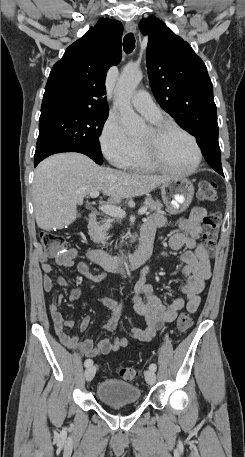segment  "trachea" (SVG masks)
<instances>
[{
  "label": "trachea",
  "mask_w": 245,
  "mask_h": 457,
  "mask_svg": "<svg viewBox=\"0 0 245 457\" xmlns=\"http://www.w3.org/2000/svg\"><path fill=\"white\" fill-rule=\"evenodd\" d=\"M123 48L127 54L131 53L134 50L135 38L133 33H128L127 35H125L123 40Z\"/></svg>",
  "instance_id": "3493384b"
}]
</instances>
